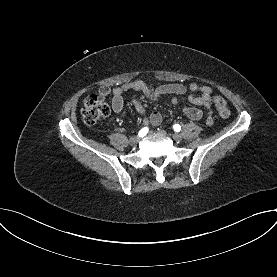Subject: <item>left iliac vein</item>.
<instances>
[{
    "label": "left iliac vein",
    "instance_id": "1",
    "mask_svg": "<svg viewBox=\"0 0 277 277\" xmlns=\"http://www.w3.org/2000/svg\"><path fill=\"white\" fill-rule=\"evenodd\" d=\"M172 138H173L175 141L179 142V141L182 140V135H181V134H178V133H174V134L172 135Z\"/></svg>",
    "mask_w": 277,
    "mask_h": 277
}]
</instances>
